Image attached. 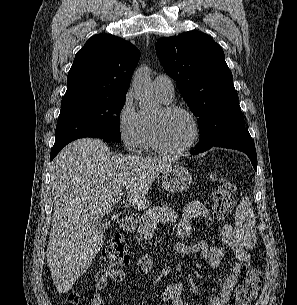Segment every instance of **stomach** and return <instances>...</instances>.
<instances>
[{"label": "stomach", "instance_id": "0dacf381", "mask_svg": "<svg viewBox=\"0 0 297 305\" xmlns=\"http://www.w3.org/2000/svg\"><path fill=\"white\" fill-rule=\"evenodd\" d=\"M162 187L169 193L182 192L192 183V175L181 165H171L162 172Z\"/></svg>", "mask_w": 297, "mask_h": 305}]
</instances>
